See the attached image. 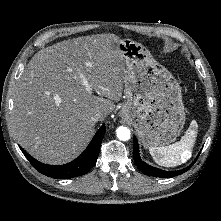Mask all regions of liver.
<instances>
[{
	"label": "liver",
	"instance_id": "liver-1",
	"mask_svg": "<svg viewBox=\"0 0 221 221\" xmlns=\"http://www.w3.org/2000/svg\"><path fill=\"white\" fill-rule=\"evenodd\" d=\"M119 41L110 33L78 37L41 49L29 61L13 97L12 128L35 159L65 164L86 148L95 131L90 113L100 111L103 121L122 97L126 72Z\"/></svg>",
	"mask_w": 221,
	"mask_h": 221
}]
</instances>
